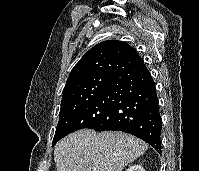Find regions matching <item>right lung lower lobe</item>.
<instances>
[{
    "label": "right lung lower lobe",
    "instance_id": "obj_1",
    "mask_svg": "<svg viewBox=\"0 0 199 171\" xmlns=\"http://www.w3.org/2000/svg\"><path fill=\"white\" fill-rule=\"evenodd\" d=\"M162 119L155 83L144 62L115 75L83 105L61 138L83 128L130 133L161 153Z\"/></svg>",
    "mask_w": 199,
    "mask_h": 171
}]
</instances>
